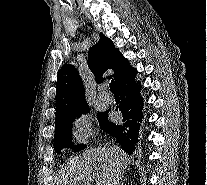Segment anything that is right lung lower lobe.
<instances>
[{
    "mask_svg": "<svg viewBox=\"0 0 207 185\" xmlns=\"http://www.w3.org/2000/svg\"><path fill=\"white\" fill-rule=\"evenodd\" d=\"M135 75L136 72L116 84L121 99L116 110L121 112L122 120L119 123L107 120L101 127L106 133L115 137L129 154L135 150L134 144L138 141L139 122L143 117V99L140 97V85L135 82Z\"/></svg>",
    "mask_w": 207,
    "mask_h": 185,
    "instance_id": "1",
    "label": "right lung lower lobe"
}]
</instances>
